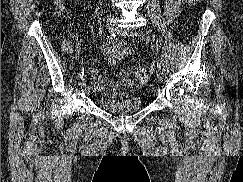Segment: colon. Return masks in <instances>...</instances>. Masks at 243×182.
<instances>
[{"label": "colon", "instance_id": "5ec220e1", "mask_svg": "<svg viewBox=\"0 0 243 182\" xmlns=\"http://www.w3.org/2000/svg\"><path fill=\"white\" fill-rule=\"evenodd\" d=\"M187 2L190 5H196L199 2V0H187ZM54 4L56 7V11L60 12L62 8V0H54ZM133 74L140 81H146L148 79V72L144 67H136L133 70Z\"/></svg>", "mask_w": 243, "mask_h": 182}]
</instances>
